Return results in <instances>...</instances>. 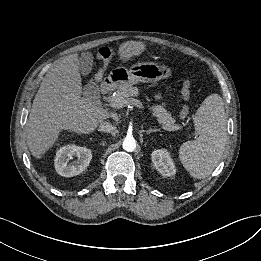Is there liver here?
I'll use <instances>...</instances> for the list:
<instances>
[{
	"label": "liver",
	"instance_id": "6515ba94",
	"mask_svg": "<svg viewBox=\"0 0 261 261\" xmlns=\"http://www.w3.org/2000/svg\"><path fill=\"white\" fill-rule=\"evenodd\" d=\"M143 42L127 41L119 46L123 62L139 56ZM78 54L58 62L45 76L33 100L26 124V140L35 158L49 150L62 130L88 134L109 118V112L88 98H82Z\"/></svg>",
	"mask_w": 261,
	"mask_h": 261
}]
</instances>
